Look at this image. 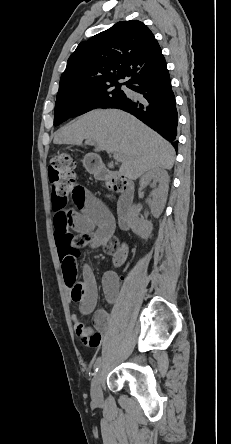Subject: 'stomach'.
I'll list each match as a JSON object with an SVG mask.
<instances>
[{"mask_svg": "<svg viewBox=\"0 0 231 444\" xmlns=\"http://www.w3.org/2000/svg\"><path fill=\"white\" fill-rule=\"evenodd\" d=\"M83 164L90 173H97L102 168V162L98 156L89 154L85 156Z\"/></svg>", "mask_w": 231, "mask_h": 444, "instance_id": "stomach-1", "label": "stomach"}]
</instances>
